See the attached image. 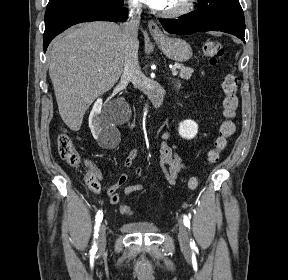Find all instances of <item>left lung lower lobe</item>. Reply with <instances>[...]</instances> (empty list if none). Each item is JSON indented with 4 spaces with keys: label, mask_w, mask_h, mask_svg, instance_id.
Masks as SVG:
<instances>
[{
    "label": "left lung lower lobe",
    "mask_w": 288,
    "mask_h": 280,
    "mask_svg": "<svg viewBox=\"0 0 288 280\" xmlns=\"http://www.w3.org/2000/svg\"><path fill=\"white\" fill-rule=\"evenodd\" d=\"M160 23L169 33L191 34L204 31H222L237 36L245 43V28L220 17L193 11L180 19H161Z\"/></svg>",
    "instance_id": "left-lung-lower-lobe-1"
}]
</instances>
